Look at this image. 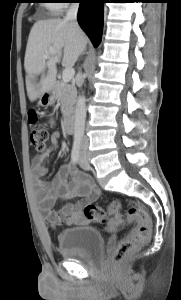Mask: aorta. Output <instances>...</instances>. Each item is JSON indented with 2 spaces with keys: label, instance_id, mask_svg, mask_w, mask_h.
Returning a JSON list of instances; mask_svg holds the SVG:
<instances>
[{
  "label": "aorta",
  "instance_id": "762f6f07",
  "mask_svg": "<svg viewBox=\"0 0 181 300\" xmlns=\"http://www.w3.org/2000/svg\"><path fill=\"white\" fill-rule=\"evenodd\" d=\"M86 121V97L79 95L74 113V138L80 139L84 136Z\"/></svg>",
  "mask_w": 181,
  "mask_h": 300
}]
</instances>
